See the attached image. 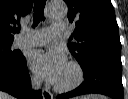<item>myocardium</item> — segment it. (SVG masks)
Instances as JSON below:
<instances>
[{
	"instance_id": "myocardium-1",
	"label": "myocardium",
	"mask_w": 128,
	"mask_h": 99,
	"mask_svg": "<svg viewBox=\"0 0 128 99\" xmlns=\"http://www.w3.org/2000/svg\"><path fill=\"white\" fill-rule=\"evenodd\" d=\"M67 64L70 67H72L73 70L75 71V79L73 80V82H71L68 85H59V84L55 83L54 89L57 92H61V93L70 92V91L76 89L78 86H80V84L83 82L84 73H83V69L80 66V64L76 61H69Z\"/></svg>"
}]
</instances>
